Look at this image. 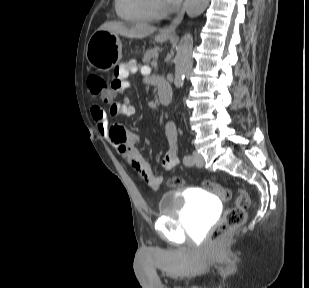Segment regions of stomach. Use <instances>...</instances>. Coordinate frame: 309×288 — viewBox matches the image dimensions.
<instances>
[{"mask_svg": "<svg viewBox=\"0 0 309 288\" xmlns=\"http://www.w3.org/2000/svg\"><path fill=\"white\" fill-rule=\"evenodd\" d=\"M169 36L159 34L157 42H164ZM86 57L91 66L101 71L115 67L122 58V43L117 34L98 29L88 40Z\"/></svg>", "mask_w": 309, "mask_h": 288, "instance_id": "1", "label": "stomach"}]
</instances>
